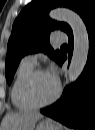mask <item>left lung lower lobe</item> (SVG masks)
<instances>
[{
  "instance_id": "left-lung-lower-lobe-1",
  "label": "left lung lower lobe",
  "mask_w": 95,
  "mask_h": 130,
  "mask_svg": "<svg viewBox=\"0 0 95 130\" xmlns=\"http://www.w3.org/2000/svg\"><path fill=\"white\" fill-rule=\"evenodd\" d=\"M84 23L89 34V55L87 64L70 87H66L62 97L53 105L41 110L47 115L70 128L89 129L95 120V12L85 18ZM73 52V35L69 36L68 59ZM66 56L60 55L59 65Z\"/></svg>"
}]
</instances>
